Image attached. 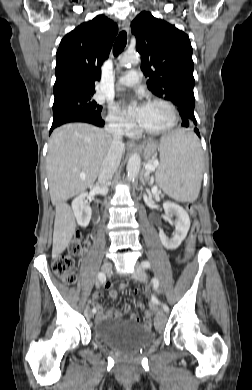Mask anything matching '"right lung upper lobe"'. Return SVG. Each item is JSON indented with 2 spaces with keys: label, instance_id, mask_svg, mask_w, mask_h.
Here are the masks:
<instances>
[{
  "label": "right lung upper lobe",
  "instance_id": "obj_1",
  "mask_svg": "<svg viewBox=\"0 0 252 390\" xmlns=\"http://www.w3.org/2000/svg\"><path fill=\"white\" fill-rule=\"evenodd\" d=\"M117 32L116 23L99 15L61 40L56 53L54 101L94 94L101 64L108 58Z\"/></svg>",
  "mask_w": 252,
  "mask_h": 390
}]
</instances>
